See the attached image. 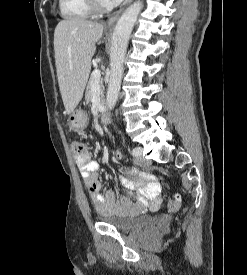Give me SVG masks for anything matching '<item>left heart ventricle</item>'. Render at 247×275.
I'll return each mask as SVG.
<instances>
[{
    "mask_svg": "<svg viewBox=\"0 0 247 275\" xmlns=\"http://www.w3.org/2000/svg\"><path fill=\"white\" fill-rule=\"evenodd\" d=\"M103 4H105V5H109L110 4V2H109V0H100Z\"/></svg>",
    "mask_w": 247,
    "mask_h": 275,
    "instance_id": "left-heart-ventricle-1",
    "label": "left heart ventricle"
}]
</instances>
